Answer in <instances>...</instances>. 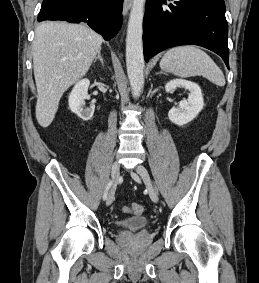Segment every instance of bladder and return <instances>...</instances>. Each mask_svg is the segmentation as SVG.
Segmentation results:
<instances>
[{
  "label": "bladder",
  "instance_id": "31cf9c89",
  "mask_svg": "<svg viewBox=\"0 0 259 283\" xmlns=\"http://www.w3.org/2000/svg\"><path fill=\"white\" fill-rule=\"evenodd\" d=\"M149 220L144 216H132L117 222V227L124 231H137L148 227Z\"/></svg>",
  "mask_w": 259,
  "mask_h": 283
}]
</instances>
